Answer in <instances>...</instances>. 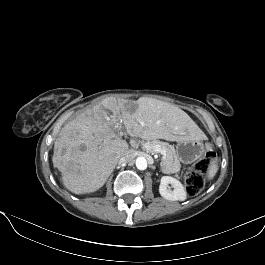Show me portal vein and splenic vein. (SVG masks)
Here are the masks:
<instances>
[{
    "mask_svg": "<svg viewBox=\"0 0 265 265\" xmlns=\"http://www.w3.org/2000/svg\"><path fill=\"white\" fill-rule=\"evenodd\" d=\"M145 148L149 151L155 152V153H160L162 155V160L165 161L166 159V151L162 149L159 145H155L152 148L146 144Z\"/></svg>",
    "mask_w": 265,
    "mask_h": 265,
    "instance_id": "obj_1",
    "label": "portal vein and splenic vein"
}]
</instances>
